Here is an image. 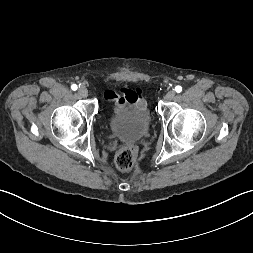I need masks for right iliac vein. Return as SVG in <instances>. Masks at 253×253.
<instances>
[{"label": "right iliac vein", "mask_w": 253, "mask_h": 253, "mask_svg": "<svg viewBox=\"0 0 253 253\" xmlns=\"http://www.w3.org/2000/svg\"><path fill=\"white\" fill-rule=\"evenodd\" d=\"M78 94H79L81 97L85 98V97L88 96V90H87L85 87H80V88L78 89Z\"/></svg>", "instance_id": "1"}]
</instances>
